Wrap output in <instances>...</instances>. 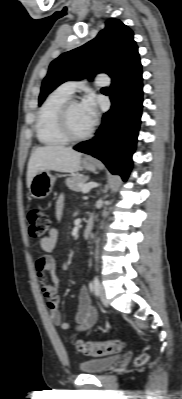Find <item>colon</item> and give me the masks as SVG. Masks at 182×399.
Segmentation results:
<instances>
[{
    "label": "colon",
    "mask_w": 182,
    "mask_h": 399,
    "mask_svg": "<svg viewBox=\"0 0 182 399\" xmlns=\"http://www.w3.org/2000/svg\"><path fill=\"white\" fill-rule=\"evenodd\" d=\"M27 219L30 236L36 240L44 238L50 227L49 215L40 207H32L28 210ZM142 336L147 337L145 333H142ZM74 344L82 354L96 357L116 354L126 347L125 341L120 339L106 342L77 340ZM147 359V354L143 353L136 358V363L141 365L145 363Z\"/></svg>",
    "instance_id": "1"
}]
</instances>
